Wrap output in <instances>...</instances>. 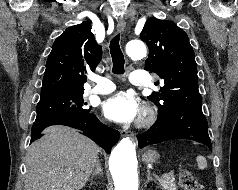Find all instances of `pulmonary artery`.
Returning a JSON list of instances; mask_svg holds the SVG:
<instances>
[{"label":"pulmonary artery","mask_w":238,"mask_h":190,"mask_svg":"<svg viewBox=\"0 0 238 190\" xmlns=\"http://www.w3.org/2000/svg\"><path fill=\"white\" fill-rule=\"evenodd\" d=\"M96 82V85L90 90L94 94H109L115 90V84L103 77H96L93 79ZM130 82L136 86H148L149 84V75L144 70H135L131 73Z\"/></svg>","instance_id":"pulmonary-artery-1"}]
</instances>
